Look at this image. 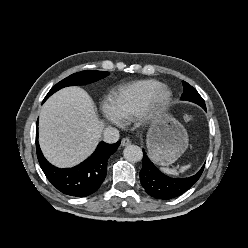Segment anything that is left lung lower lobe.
Listing matches in <instances>:
<instances>
[{"mask_svg": "<svg viewBox=\"0 0 248 248\" xmlns=\"http://www.w3.org/2000/svg\"><path fill=\"white\" fill-rule=\"evenodd\" d=\"M206 111V106L202 107ZM143 166L140 171V181L145 191L157 199L168 200L180 196L193 186L200 178V171L188 178H171L160 172L143 151Z\"/></svg>", "mask_w": 248, "mask_h": 248, "instance_id": "1", "label": "left lung lower lobe"}]
</instances>
